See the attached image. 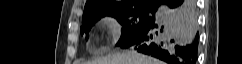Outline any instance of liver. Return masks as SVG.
Returning <instances> with one entry per match:
<instances>
[{"mask_svg": "<svg viewBox=\"0 0 242 64\" xmlns=\"http://www.w3.org/2000/svg\"><path fill=\"white\" fill-rule=\"evenodd\" d=\"M194 2V1H193ZM188 30L196 31V19L187 20ZM84 64H163L162 61L143 55L136 51H129L122 54L108 55L97 58Z\"/></svg>", "mask_w": 242, "mask_h": 64, "instance_id": "1", "label": "liver"}]
</instances>
